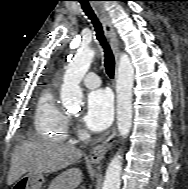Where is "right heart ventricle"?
I'll list each match as a JSON object with an SVG mask.
<instances>
[{
    "mask_svg": "<svg viewBox=\"0 0 188 189\" xmlns=\"http://www.w3.org/2000/svg\"><path fill=\"white\" fill-rule=\"evenodd\" d=\"M68 116L58 106L52 87L40 93L34 114L36 132L52 141L62 142L68 133Z\"/></svg>",
    "mask_w": 188,
    "mask_h": 189,
    "instance_id": "obj_1",
    "label": "right heart ventricle"
}]
</instances>
